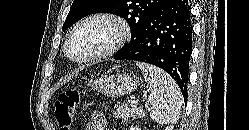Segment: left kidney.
<instances>
[{"mask_svg": "<svg viewBox=\"0 0 249 130\" xmlns=\"http://www.w3.org/2000/svg\"><path fill=\"white\" fill-rule=\"evenodd\" d=\"M130 130H140L139 128H130Z\"/></svg>", "mask_w": 249, "mask_h": 130, "instance_id": "1", "label": "left kidney"}]
</instances>
